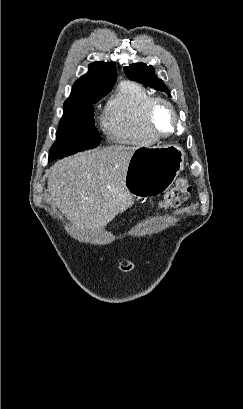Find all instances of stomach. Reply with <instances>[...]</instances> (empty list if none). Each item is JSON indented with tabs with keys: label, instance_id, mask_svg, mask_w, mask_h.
Instances as JSON below:
<instances>
[{
	"label": "stomach",
	"instance_id": "obj_1",
	"mask_svg": "<svg viewBox=\"0 0 243 409\" xmlns=\"http://www.w3.org/2000/svg\"><path fill=\"white\" fill-rule=\"evenodd\" d=\"M184 157L183 149L174 144L137 148L128 165L126 191L135 197L167 191L182 169Z\"/></svg>",
	"mask_w": 243,
	"mask_h": 409
}]
</instances>
